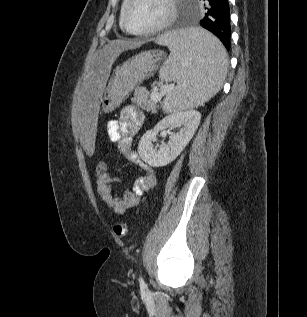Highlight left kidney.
I'll use <instances>...</instances> for the list:
<instances>
[{"mask_svg": "<svg viewBox=\"0 0 307 317\" xmlns=\"http://www.w3.org/2000/svg\"><path fill=\"white\" fill-rule=\"evenodd\" d=\"M201 119V114L197 110L174 112L166 116L154 129L148 130L142 137L138 145V153L141 159L152 167H161L172 162L184 149L196 132ZM168 127H179V132L169 136L167 144L154 147L160 131Z\"/></svg>", "mask_w": 307, "mask_h": 317, "instance_id": "5707ae66", "label": "left kidney"}]
</instances>
